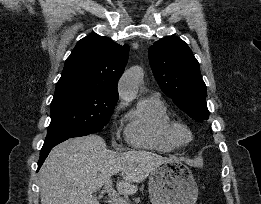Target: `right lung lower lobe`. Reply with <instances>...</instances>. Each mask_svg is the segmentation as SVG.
Returning <instances> with one entry per match:
<instances>
[{"mask_svg":"<svg viewBox=\"0 0 261 204\" xmlns=\"http://www.w3.org/2000/svg\"><path fill=\"white\" fill-rule=\"evenodd\" d=\"M85 135H88V134H82V135H79V136H85ZM79 136H64V137H59V138H55V139H52V140L44 141V145H43V147L40 151V158H39V161H38V170L41 167V165L43 164L45 158L48 156L50 150L54 146H56L57 144L65 141L69 138L79 137Z\"/></svg>","mask_w":261,"mask_h":204,"instance_id":"right-lung-lower-lobe-1","label":"right lung lower lobe"}]
</instances>
